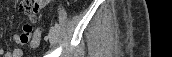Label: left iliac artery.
I'll use <instances>...</instances> for the list:
<instances>
[{
    "mask_svg": "<svg viewBox=\"0 0 172 57\" xmlns=\"http://www.w3.org/2000/svg\"><path fill=\"white\" fill-rule=\"evenodd\" d=\"M55 27L59 30V25L57 23L55 24Z\"/></svg>",
    "mask_w": 172,
    "mask_h": 57,
    "instance_id": "1",
    "label": "left iliac artery"
}]
</instances>
